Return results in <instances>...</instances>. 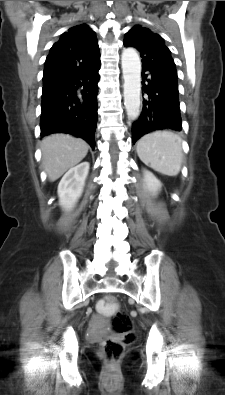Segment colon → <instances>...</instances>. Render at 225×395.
<instances>
[{
  "instance_id": "5ec220e1",
  "label": "colon",
  "mask_w": 225,
  "mask_h": 395,
  "mask_svg": "<svg viewBox=\"0 0 225 395\" xmlns=\"http://www.w3.org/2000/svg\"><path fill=\"white\" fill-rule=\"evenodd\" d=\"M116 301L114 297L108 296L105 299V305L115 304ZM112 329L115 335L99 342L101 353L110 364L119 361L124 354L125 348L133 344L136 340L132 321L121 309L118 315H112Z\"/></svg>"
}]
</instances>
